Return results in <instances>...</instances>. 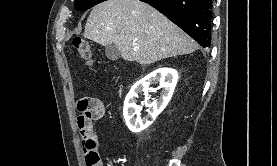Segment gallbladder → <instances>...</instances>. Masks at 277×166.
Returning <instances> with one entry per match:
<instances>
[{
  "label": "gallbladder",
  "mask_w": 277,
  "mask_h": 166,
  "mask_svg": "<svg viewBox=\"0 0 277 166\" xmlns=\"http://www.w3.org/2000/svg\"><path fill=\"white\" fill-rule=\"evenodd\" d=\"M105 54L108 59L115 61L120 57V52L114 44L107 45L105 47Z\"/></svg>",
  "instance_id": "bac80fb5"
}]
</instances>
